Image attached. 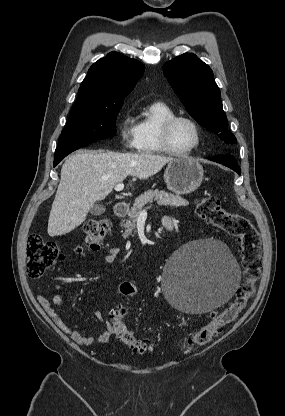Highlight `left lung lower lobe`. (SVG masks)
Here are the masks:
<instances>
[{
  "label": "left lung lower lobe",
  "instance_id": "left-lung-lower-lobe-1",
  "mask_svg": "<svg viewBox=\"0 0 285 416\" xmlns=\"http://www.w3.org/2000/svg\"><path fill=\"white\" fill-rule=\"evenodd\" d=\"M209 159L231 168L232 170L236 171L239 175L241 174L240 167L237 164L236 159L232 156H215Z\"/></svg>",
  "mask_w": 285,
  "mask_h": 416
}]
</instances>
